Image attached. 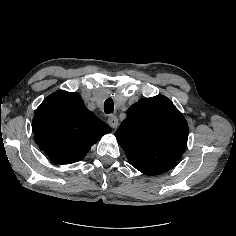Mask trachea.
<instances>
[{
    "label": "trachea",
    "instance_id": "1",
    "mask_svg": "<svg viewBox=\"0 0 236 236\" xmlns=\"http://www.w3.org/2000/svg\"><path fill=\"white\" fill-rule=\"evenodd\" d=\"M114 103L112 98H108L104 103V111L107 114L113 113Z\"/></svg>",
    "mask_w": 236,
    "mask_h": 236
}]
</instances>
